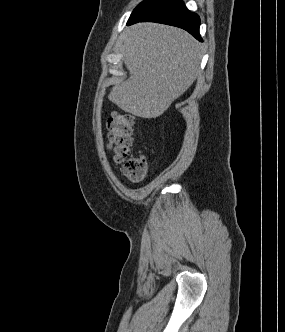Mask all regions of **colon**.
<instances>
[{
  "label": "colon",
  "mask_w": 285,
  "mask_h": 332,
  "mask_svg": "<svg viewBox=\"0 0 285 332\" xmlns=\"http://www.w3.org/2000/svg\"><path fill=\"white\" fill-rule=\"evenodd\" d=\"M135 118L129 113L114 112L107 122L108 148L123 175L131 182L141 181L147 171L144 157L131 156Z\"/></svg>",
  "instance_id": "5ec220e1"
}]
</instances>
